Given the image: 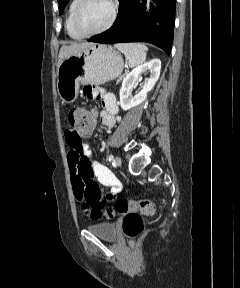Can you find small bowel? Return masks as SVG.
Returning a JSON list of instances; mask_svg holds the SVG:
<instances>
[{"instance_id": "obj_1", "label": "small bowel", "mask_w": 240, "mask_h": 288, "mask_svg": "<svg viewBox=\"0 0 240 288\" xmlns=\"http://www.w3.org/2000/svg\"><path fill=\"white\" fill-rule=\"evenodd\" d=\"M84 95L89 100L102 103L101 122L112 128L118 113L115 96L103 88L92 85L84 88ZM91 132L92 130L76 135L67 127L64 133L69 147L68 165L71 184L79 202H83L90 191H100L98 184L110 187L113 194H119L123 189L117 177L105 165L93 159L89 146L83 141V138L89 137Z\"/></svg>"}]
</instances>
